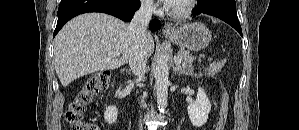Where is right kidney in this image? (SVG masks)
Wrapping results in <instances>:
<instances>
[{
  "mask_svg": "<svg viewBox=\"0 0 299 130\" xmlns=\"http://www.w3.org/2000/svg\"><path fill=\"white\" fill-rule=\"evenodd\" d=\"M118 109L115 106H108L104 112V118L109 124H113L117 120Z\"/></svg>",
  "mask_w": 299,
  "mask_h": 130,
  "instance_id": "1",
  "label": "right kidney"
}]
</instances>
